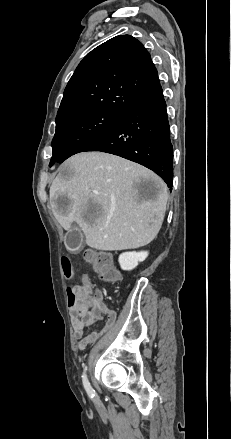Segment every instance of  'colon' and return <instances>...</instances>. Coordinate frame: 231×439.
Listing matches in <instances>:
<instances>
[{
	"instance_id": "1",
	"label": "colon",
	"mask_w": 231,
	"mask_h": 439,
	"mask_svg": "<svg viewBox=\"0 0 231 439\" xmlns=\"http://www.w3.org/2000/svg\"><path fill=\"white\" fill-rule=\"evenodd\" d=\"M85 260L92 265L94 271L99 275V277L107 282H114L119 278L118 271L113 266L110 256L101 251L89 249L85 252ZM62 266L66 278L70 279L73 276V269L68 258H63ZM68 294L70 296V306L73 309L79 306V296L76 293L72 294L71 288H68Z\"/></svg>"
}]
</instances>
